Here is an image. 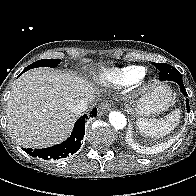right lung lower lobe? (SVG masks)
Wrapping results in <instances>:
<instances>
[{
	"mask_svg": "<svg viewBox=\"0 0 196 196\" xmlns=\"http://www.w3.org/2000/svg\"><path fill=\"white\" fill-rule=\"evenodd\" d=\"M23 71L22 73H24ZM21 73V74H22ZM97 109H93L89 115H83L80 117L73 129L71 136L61 144L44 148V149H23L26 153L33 157H39L43 159H60L65 158L71 154H74L80 149L81 141L83 140L85 133V122L90 117H96Z\"/></svg>",
	"mask_w": 196,
	"mask_h": 196,
	"instance_id": "98d812e1",
	"label": "right lung lower lobe"
}]
</instances>
